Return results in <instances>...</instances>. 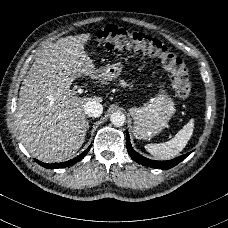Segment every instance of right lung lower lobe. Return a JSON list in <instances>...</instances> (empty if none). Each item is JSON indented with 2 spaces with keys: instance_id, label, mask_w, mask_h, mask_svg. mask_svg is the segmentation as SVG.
<instances>
[{
  "instance_id": "98d812e1",
  "label": "right lung lower lobe",
  "mask_w": 228,
  "mask_h": 228,
  "mask_svg": "<svg viewBox=\"0 0 228 228\" xmlns=\"http://www.w3.org/2000/svg\"><path fill=\"white\" fill-rule=\"evenodd\" d=\"M91 146V145H90ZM90 146L82 153L80 154L78 157L72 159V160H69V161H66V162H62V163H54V164H47V163H43V162H40L38 160L35 159V161L45 167V168H48V169H54V168H64V167H68L70 165H73L75 164L76 162L80 161L87 153L88 151L90 150Z\"/></svg>"
}]
</instances>
